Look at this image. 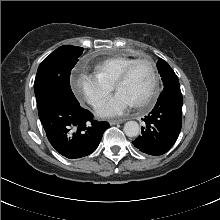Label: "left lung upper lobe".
<instances>
[{
	"mask_svg": "<svg viewBox=\"0 0 220 220\" xmlns=\"http://www.w3.org/2000/svg\"><path fill=\"white\" fill-rule=\"evenodd\" d=\"M157 67L164 83V89L179 86L178 77L166 61L159 58Z\"/></svg>",
	"mask_w": 220,
	"mask_h": 220,
	"instance_id": "obj_1",
	"label": "left lung upper lobe"
}]
</instances>
